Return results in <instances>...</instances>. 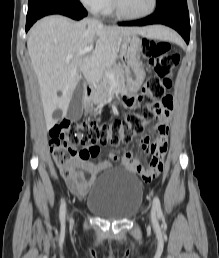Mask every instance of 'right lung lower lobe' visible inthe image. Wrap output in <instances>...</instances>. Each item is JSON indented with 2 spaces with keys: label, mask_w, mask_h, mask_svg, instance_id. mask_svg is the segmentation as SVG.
<instances>
[{
  "label": "right lung lower lobe",
  "mask_w": 219,
  "mask_h": 258,
  "mask_svg": "<svg viewBox=\"0 0 219 258\" xmlns=\"http://www.w3.org/2000/svg\"><path fill=\"white\" fill-rule=\"evenodd\" d=\"M51 14L80 20L87 15V11L78 0H51L27 14L26 32L38 19Z\"/></svg>",
  "instance_id": "obj_1"
}]
</instances>
